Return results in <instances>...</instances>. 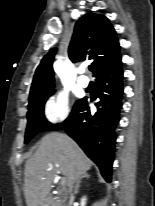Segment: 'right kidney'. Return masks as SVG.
I'll list each match as a JSON object with an SVG mask.
<instances>
[{"mask_svg":"<svg viewBox=\"0 0 155 206\" xmlns=\"http://www.w3.org/2000/svg\"><path fill=\"white\" fill-rule=\"evenodd\" d=\"M86 201H87L86 197H85V196L82 197V198H81V201H80L81 206H85V205H86Z\"/></svg>","mask_w":155,"mask_h":206,"instance_id":"ca27d5eb","label":"right kidney"}]
</instances>
